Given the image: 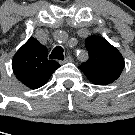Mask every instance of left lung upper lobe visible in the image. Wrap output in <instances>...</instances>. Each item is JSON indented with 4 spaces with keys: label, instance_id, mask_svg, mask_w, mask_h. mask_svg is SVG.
<instances>
[{
    "label": "left lung upper lobe",
    "instance_id": "1",
    "mask_svg": "<svg viewBox=\"0 0 135 135\" xmlns=\"http://www.w3.org/2000/svg\"><path fill=\"white\" fill-rule=\"evenodd\" d=\"M85 44L89 59L79 69L97 85H107L116 80L125 66L121 53L100 36L86 38Z\"/></svg>",
    "mask_w": 135,
    "mask_h": 135
}]
</instances>
